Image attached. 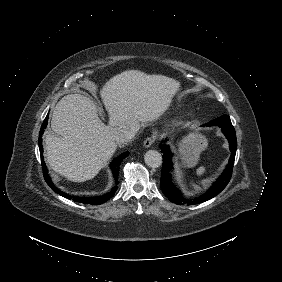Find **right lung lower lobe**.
Wrapping results in <instances>:
<instances>
[{
    "label": "right lung lower lobe",
    "instance_id": "1",
    "mask_svg": "<svg viewBox=\"0 0 282 282\" xmlns=\"http://www.w3.org/2000/svg\"><path fill=\"white\" fill-rule=\"evenodd\" d=\"M47 119H48V115L46 117V119L44 120L42 126H41V131L39 133V149L40 152L43 153V148H42V134L44 132V129L47 125ZM129 155V152H124L123 154H121L120 156H118L117 158H115L112 162H111V169L113 172V176L115 178V184H118V173H119V166L122 162V160L124 158H126ZM41 163H42V168H43V175H44V179L46 180L47 184L53 189V191H55L56 193H58L59 195L66 197L67 199H72L73 201L76 202H80V203H85V204H91V205H99L102 204L104 202H106L107 200H109L110 198H112L114 196V193L117 190V186H115L110 192H108L107 194H104L102 196H96V197H73L71 195H68L66 193H64L63 191H60L59 189H57L51 182V179L49 177V175L47 174V169L43 160V156L41 155Z\"/></svg>",
    "mask_w": 282,
    "mask_h": 282
}]
</instances>
